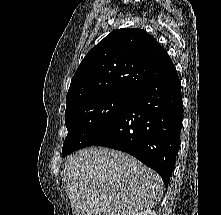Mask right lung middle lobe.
<instances>
[{
  "instance_id": "right-lung-middle-lobe-1",
  "label": "right lung middle lobe",
  "mask_w": 221,
  "mask_h": 215,
  "mask_svg": "<svg viewBox=\"0 0 221 215\" xmlns=\"http://www.w3.org/2000/svg\"><path fill=\"white\" fill-rule=\"evenodd\" d=\"M131 95L107 94L66 106L65 124L68 135L62 154L90 146L119 117Z\"/></svg>"
}]
</instances>
